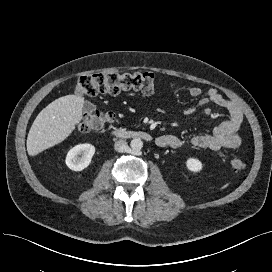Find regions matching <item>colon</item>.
Returning <instances> with one entry per match:
<instances>
[{
	"mask_svg": "<svg viewBox=\"0 0 272 272\" xmlns=\"http://www.w3.org/2000/svg\"><path fill=\"white\" fill-rule=\"evenodd\" d=\"M155 77L150 73H98L79 78L75 93L81 96L100 94H118L122 91L135 90L150 95L155 90ZM114 114L106 110H94L83 117L79 129L83 132L102 130L114 120ZM230 168L235 172L245 169V161L237 156L229 160Z\"/></svg>",
	"mask_w": 272,
	"mask_h": 272,
	"instance_id": "colon-1",
	"label": "colon"
}]
</instances>
